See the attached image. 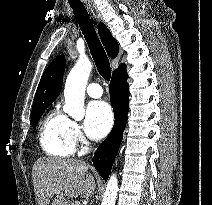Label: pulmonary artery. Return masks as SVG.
Masks as SVG:
<instances>
[{"label":"pulmonary artery","instance_id":"pulmonary-artery-1","mask_svg":"<svg viewBox=\"0 0 212 205\" xmlns=\"http://www.w3.org/2000/svg\"><path fill=\"white\" fill-rule=\"evenodd\" d=\"M87 93L93 98H99L102 96L103 90L100 84L93 82L87 86Z\"/></svg>","mask_w":212,"mask_h":205}]
</instances>
